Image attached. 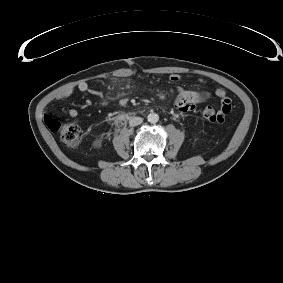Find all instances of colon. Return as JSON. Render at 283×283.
I'll return each instance as SVG.
<instances>
[{"mask_svg":"<svg viewBox=\"0 0 283 283\" xmlns=\"http://www.w3.org/2000/svg\"><path fill=\"white\" fill-rule=\"evenodd\" d=\"M231 104L226 101L224 106L216 109L212 106H207L203 110L204 118L211 123H222L227 114L230 112ZM45 124L53 131L58 132L61 141L69 147H74L78 144L80 138V128L75 124L61 123L50 116L44 117Z\"/></svg>","mask_w":283,"mask_h":283,"instance_id":"colon-1","label":"colon"}]
</instances>
